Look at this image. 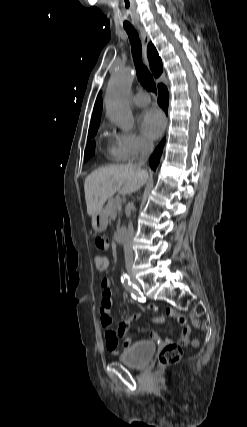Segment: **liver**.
Instances as JSON below:
<instances>
[{
	"instance_id": "6515ba94",
	"label": "liver",
	"mask_w": 247,
	"mask_h": 427,
	"mask_svg": "<svg viewBox=\"0 0 247 427\" xmlns=\"http://www.w3.org/2000/svg\"><path fill=\"white\" fill-rule=\"evenodd\" d=\"M148 178V173L135 164L102 167L90 173L84 182L85 200L89 216L103 210L104 203L117 191L130 194L137 191Z\"/></svg>"
}]
</instances>
